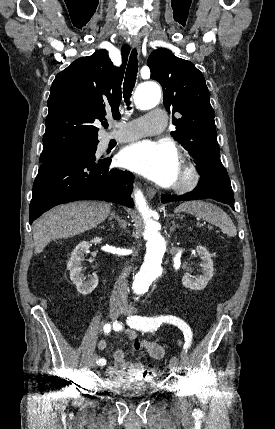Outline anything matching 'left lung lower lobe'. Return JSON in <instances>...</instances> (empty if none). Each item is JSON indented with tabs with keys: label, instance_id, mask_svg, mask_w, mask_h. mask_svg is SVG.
I'll return each instance as SVG.
<instances>
[{
	"label": "left lung lower lobe",
	"instance_id": "obj_1",
	"mask_svg": "<svg viewBox=\"0 0 275 429\" xmlns=\"http://www.w3.org/2000/svg\"><path fill=\"white\" fill-rule=\"evenodd\" d=\"M200 175V182L192 192L181 196L161 195V202L168 203L211 198L228 204L235 210L234 194L228 174L218 171H206L200 172Z\"/></svg>",
	"mask_w": 275,
	"mask_h": 429
}]
</instances>
